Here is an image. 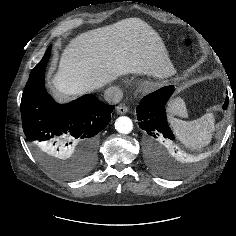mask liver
<instances>
[{
	"label": "liver",
	"mask_w": 236,
	"mask_h": 236,
	"mask_svg": "<svg viewBox=\"0 0 236 236\" xmlns=\"http://www.w3.org/2000/svg\"><path fill=\"white\" fill-rule=\"evenodd\" d=\"M168 51L158 33L138 18H128L73 38L63 50L52 78L56 91L79 96L127 74L165 78L174 74ZM184 111L181 100L169 112Z\"/></svg>",
	"instance_id": "liver-1"
}]
</instances>
